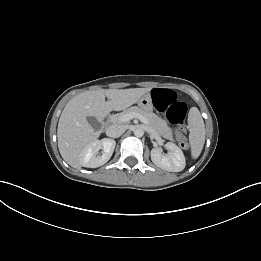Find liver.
Here are the masks:
<instances>
[{"mask_svg": "<svg viewBox=\"0 0 261 261\" xmlns=\"http://www.w3.org/2000/svg\"><path fill=\"white\" fill-rule=\"evenodd\" d=\"M149 91L150 88L101 89L73 97L64 107L58 123V148L62 158L79 169L82 149L100 135L87 118L103 120L111 111H121L137 103Z\"/></svg>", "mask_w": 261, "mask_h": 261, "instance_id": "1", "label": "liver"}]
</instances>
